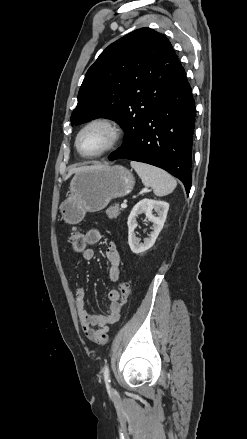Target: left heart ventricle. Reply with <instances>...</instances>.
Returning a JSON list of instances; mask_svg holds the SVG:
<instances>
[{
	"instance_id": "left-heart-ventricle-1",
	"label": "left heart ventricle",
	"mask_w": 247,
	"mask_h": 439,
	"mask_svg": "<svg viewBox=\"0 0 247 439\" xmlns=\"http://www.w3.org/2000/svg\"><path fill=\"white\" fill-rule=\"evenodd\" d=\"M110 138V132L105 126L95 125L83 133L79 145L84 153L91 154L106 147Z\"/></svg>"
}]
</instances>
